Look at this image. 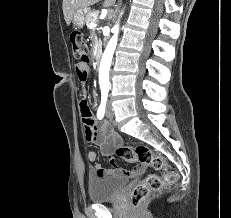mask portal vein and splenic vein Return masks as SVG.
Wrapping results in <instances>:
<instances>
[{"label":"portal vein and splenic vein","mask_w":231,"mask_h":218,"mask_svg":"<svg viewBox=\"0 0 231 218\" xmlns=\"http://www.w3.org/2000/svg\"><path fill=\"white\" fill-rule=\"evenodd\" d=\"M89 27H90V28H95V27H96L95 22L90 23V26H89Z\"/></svg>","instance_id":"obj_1"}]
</instances>
